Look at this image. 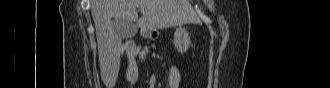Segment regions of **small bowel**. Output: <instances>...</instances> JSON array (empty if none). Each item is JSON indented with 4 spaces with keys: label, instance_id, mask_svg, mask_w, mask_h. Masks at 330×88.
Masks as SVG:
<instances>
[{
    "label": "small bowel",
    "instance_id": "c3829d8e",
    "mask_svg": "<svg viewBox=\"0 0 330 88\" xmlns=\"http://www.w3.org/2000/svg\"><path fill=\"white\" fill-rule=\"evenodd\" d=\"M129 70H134V65L131 64ZM168 88H178L181 82V72L177 67H171L167 77Z\"/></svg>",
    "mask_w": 330,
    "mask_h": 88
}]
</instances>
